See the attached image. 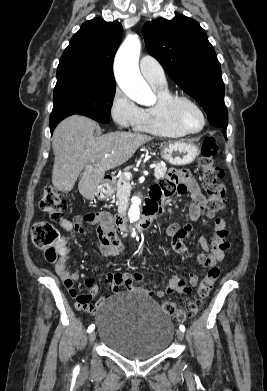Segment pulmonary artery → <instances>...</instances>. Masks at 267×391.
I'll return each instance as SVG.
<instances>
[{"instance_id": "obj_1", "label": "pulmonary artery", "mask_w": 267, "mask_h": 391, "mask_svg": "<svg viewBox=\"0 0 267 391\" xmlns=\"http://www.w3.org/2000/svg\"><path fill=\"white\" fill-rule=\"evenodd\" d=\"M140 71L152 87H166L167 81L160 63L149 55H144L140 60Z\"/></svg>"}]
</instances>
